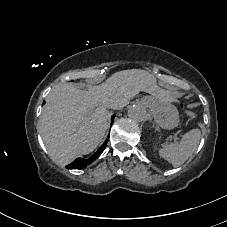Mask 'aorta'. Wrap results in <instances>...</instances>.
I'll return each mask as SVG.
<instances>
[{
    "label": "aorta",
    "instance_id": "obj_1",
    "mask_svg": "<svg viewBox=\"0 0 227 227\" xmlns=\"http://www.w3.org/2000/svg\"><path fill=\"white\" fill-rule=\"evenodd\" d=\"M128 117L135 122H142L147 119V112L145 108L139 105L131 106L128 109Z\"/></svg>",
    "mask_w": 227,
    "mask_h": 227
}]
</instances>
